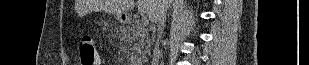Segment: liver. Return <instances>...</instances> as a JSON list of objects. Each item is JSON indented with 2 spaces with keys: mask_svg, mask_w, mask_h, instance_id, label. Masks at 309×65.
I'll use <instances>...</instances> for the list:
<instances>
[{
  "mask_svg": "<svg viewBox=\"0 0 309 65\" xmlns=\"http://www.w3.org/2000/svg\"><path fill=\"white\" fill-rule=\"evenodd\" d=\"M163 0H137L140 13H146L152 22H158L164 12ZM82 11H104L121 15L135 7V0H81L78 5Z\"/></svg>",
  "mask_w": 309,
  "mask_h": 65,
  "instance_id": "1",
  "label": "liver"
}]
</instances>
